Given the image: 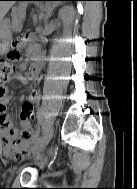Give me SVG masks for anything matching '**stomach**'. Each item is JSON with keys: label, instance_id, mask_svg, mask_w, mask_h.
I'll list each match as a JSON object with an SVG mask.
<instances>
[{"label": "stomach", "instance_id": "stomach-1", "mask_svg": "<svg viewBox=\"0 0 137 189\" xmlns=\"http://www.w3.org/2000/svg\"><path fill=\"white\" fill-rule=\"evenodd\" d=\"M10 38V24L8 20L0 22V47L2 50L8 45Z\"/></svg>", "mask_w": 137, "mask_h": 189}]
</instances>
